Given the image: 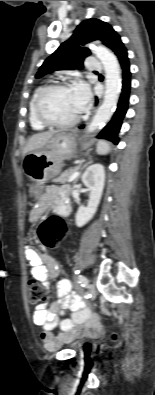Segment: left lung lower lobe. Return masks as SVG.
Wrapping results in <instances>:
<instances>
[{
	"mask_svg": "<svg viewBox=\"0 0 155 395\" xmlns=\"http://www.w3.org/2000/svg\"><path fill=\"white\" fill-rule=\"evenodd\" d=\"M121 73H122V89L117 109L111 121L99 133L98 138H103L118 144V133L120 131L122 120L128 110L130 89H131V72L130 63L127 55L119 59ZM80 128H83L81 126Z\"/></svg>",
	"mask_w": 155,
	"mask_h": 395,
	"instance_id": "0a47b994",
	"label": "left lung lower lobe"
}]
</instances>
